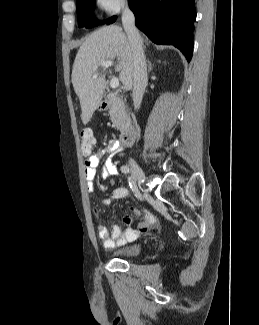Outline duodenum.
<instances>
[{"instance_id":"obj_1","label":"duodenum","mask_w":259,"mask_h":325,"mask_svg":"<svg viewBox=\"0 0 259 325\" xmlns=\"http://www.w3.org/2000/svg\"><path fill=\"white\" fill-rule=\"evenodd\" d=\"M109 107V101L108 99H104L101 102V109L102 110H106ZM136 136V128L134 126H129L127 127L120 138V145L121 146H128L134 139V137Z\"/></svg>"}]
</instances>
